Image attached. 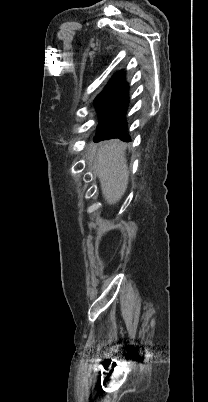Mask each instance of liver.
<instances>
[{
    "label": "liver",
    "mask_w": 208,
    "mask_h": 402,
    "mask_svg": "<svg viewBox=\"0 0 208 402\" xmlns=\"http://www.w3.org/2000/svg\"><path fill=\"white\" fill-rule=\"evenodd\" d=\"M91 158H96L92 170L100 180L105 202L116 204L124 196L128 184L129 172L124 158V144L119 140L102 142L98 152L92 150Z\"/></svg>",
    "instance_id": "obj_1"
}]
</instances>
